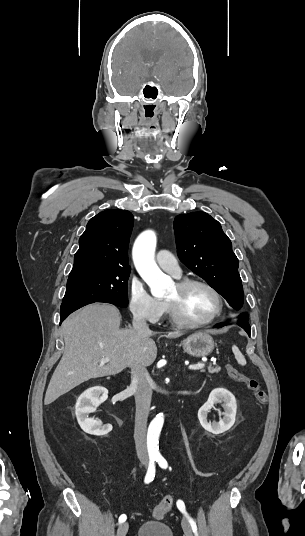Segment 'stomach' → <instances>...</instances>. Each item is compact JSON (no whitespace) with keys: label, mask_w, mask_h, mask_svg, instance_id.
<instances>
[{"label":"stomach","mask_w":305,"mask_h":536,"mask_svg":"<svg viewBox=\"0 0 305 536\" xmlns=\"http://www.w3.org/2000/svg\"><path fill=\"white\" fill-rule=\"evenodd\" d=\"M184 352L195 356V358H203L209 356L214 350V340L207 332H197L192 334L182 342Z\"/></svg>","instance_id":"stomach-1"}]
</instances>
